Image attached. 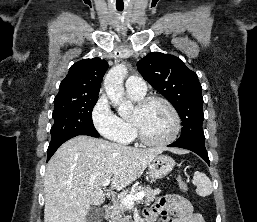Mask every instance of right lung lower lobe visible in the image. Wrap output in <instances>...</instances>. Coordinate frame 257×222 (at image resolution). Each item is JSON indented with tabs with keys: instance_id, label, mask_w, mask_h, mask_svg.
Wrapping results in <instances>:
<instances>
[{
	"instance_id": "right-lung-lower-lobe-1",
	"label": "right lung lower lobe",
	"mask_w": 257,
	"mask_h": 222,
	"mask_svg": "<svg viewBox=\"0 0 257 222\" xmlns=\"http://www.w3.org/2000/svg\"><path fill=\"white\" fill-rule=\"evenodd\" d=\"M72 137H75V136H72ZM72 137H68V138H65V139H62L58 142H55V143H52V144H49V147H48V150H47V161L51 158V156L55 153V151L67 140H69L70 138Z\"/></svg>"
}]
</instances>
